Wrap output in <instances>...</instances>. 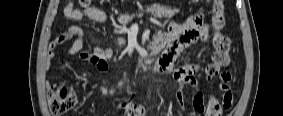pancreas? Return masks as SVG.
<instances>
[{"instance_id": "obj_1", "label": "pancreas", "mask_w": 283, "mask_h": 116, "mask_svg": "<svg viewBox=\"0 0 283 116\" xmlns=\"http://www.w3.org/2000/svg\"><path fill=\"white\" fill-rule=\"evenodd\" d=\"M146 12L151 13L155 18H161V17L171 18L174 16L175 13L178 12V9H171L169 7H163L160 5H152L146 9ZM134 16L135 15L132 16L127 15L123 23L127 24L129 21L133 19ZM138 16H140V14ZM118 45L119 46L125 45V39L118 38Z\"/></svg>"}]
</instances>
